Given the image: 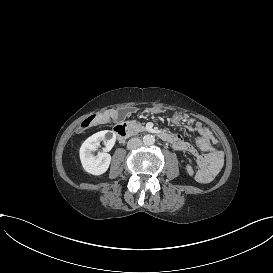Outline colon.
Returning a JSON list of instances; mask_svg holds the SVG:
<instances>
[{
	"instance_id": "colon-1",
	"label": "colon",
	"mask_w": 273,
	"mask_h": 273,
	"mask_svg": "<svg viewBox=\"0 0 273 273\" xmlns=\"http://www.w3.org/2000/svg\"><path fill=\"white\" fill-rule=\"evenodd\" d=\"M201 168L204 170L199 174V181L202 184H209L212 181V176L219 172V165L211 158H204L201 161Z\"/></svg>"
}]
</instances>
